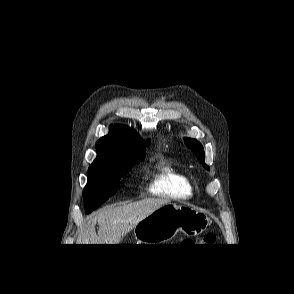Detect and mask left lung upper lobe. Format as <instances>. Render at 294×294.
<instances>
[{
    "instance_id": "1",
    "label": "left lung upper lobe",
    "mask_w": 294,
    "mask_h": 294,
    "mask_svg": "<svg viewBox=\"0 0 294 294\" xmlns=\"http://www.w3.org/2000/svg\"><path fill=\"white\" fill-rule=\"evenodd\" d=\"M185 144L192 149L197 156V159L203 163L204 168L209 170V167L204 163V149L200 142L191 138H184Z\"/></svg>"
}]
</instances>
